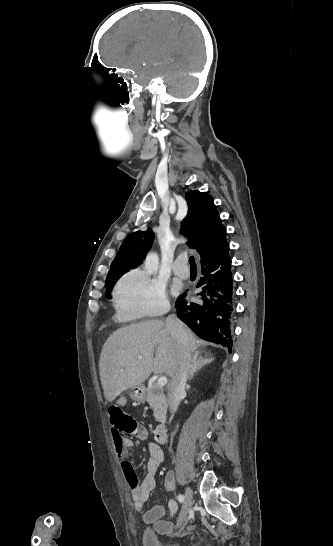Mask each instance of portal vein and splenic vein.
Masks as SVG:
<instances>
[{
	"mask_svg": "<svg viewBox=\"0 0 333 546\" xmlns=\"http://www.w3.org/2000/svg\"><path fill=\"white\" fill-rule=\"evenodd\" d=\"M138 359H142L141 356L138 357ZM167 384V377L166 376H160L157 380V385L160 387H163Z\"/></svg>",
	"mask_w": 333,
	"mask_h": 546,
	"instance_id": "obj_1",
	"label": "portal vein and splenic vein"
}]
</instances>
